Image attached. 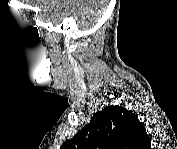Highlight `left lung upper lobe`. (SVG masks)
Wrapping results in <instances>:
<instances>
[{"label":"left lung upper lobe","mask_w":177,"mask_h":149,"mask_svg":"<svg viewBox=\"0 0 177 149\" xmlns=\"http://www.w3.org/2000/svg\"><path fill=\"white\" fill-rule=\"evenodd\" d=\"M147 135L143 124L132 111L108 106L97 112L90 123L61 149H143Z\"/></svg>","instance_id":"5c2ea615"}]
</instances>
